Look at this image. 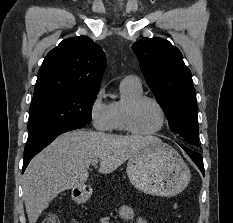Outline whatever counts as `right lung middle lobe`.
Returning <instances> with one entry per match:
<instances>
[{
  "label": "right lung middle lobe",
  "mask_w": 233,
  "mask_h": 223,
  "mask_svg": "<svg viewBox=\"0 0 233 223\" xmlns=\"http://www.w3.org/2000/svg\"><path fill=\"white\" fill-rule=\"evenodd\" d=\"M98 92L53 91L34 95L30 105V123L24 155L42 147L62 129L85 126Z\"/></svg>",
  "instance_id": "right-lung-middle-lobe-1"
}]
</instances>
